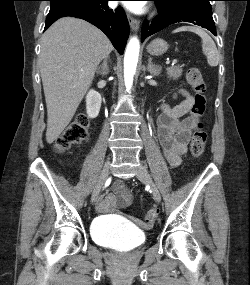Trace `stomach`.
Masks as SVG:
<instances>
[{"mask_svg":"<svg viewBox=\"0 0 250 285\" xmlns=\"http://www.w3.org/2000/svg\"><path fill=\"white\" fill-rule=\"evenodd\" d=\"M168 49V44L163 39H155L148 46L147 51L151 55H162Z\"/></svg>","mask_w":250,"mask_h":285,"instance_id":"1","label":"stomach"}]
</instances>
